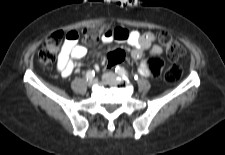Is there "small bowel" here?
Listing matches in <instances>:
<instances>
[{"label": "small bowel", "instance_id": "small-bowel-1", "mask_svg": "<svg viewBox=\"0 0 225 155\" xmlns=\"http://www.w3.org/2000/svg\"><path fill=\"white\" fill-rule=\"evenodd\" d=\"M82 39V34L77 29H70L66 33V40L61 48L57 60V69L64 76H70L77 64L86 55V48L78 43ZM103 43L113 41L126 42L132 47L131 56L139 61V73L141 66L147 63L145 53L148 52L152 57H159L163 49L156 42V36L152 32L140 33L138 31H129L123 27L112 28V30L101 38ZM149 77L151 75H143Z\"/></svg>", "mask_w": 225, "mask_h": 155}]
</instances>
